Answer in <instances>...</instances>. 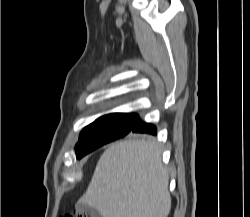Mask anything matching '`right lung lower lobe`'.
Masks as SVG:
<instances>
[{
	"label": "right lung lower lobe",
	"instance_id": "right-lung-lower-lobe-1",
	"mask_svg": "<svg viewBox=\"0 0 250 217\" xmlns=\"http://www.w3.org/2000/svg\"><path fill=\"white\" fill-rule=\"evenodd\" d=\"M131 133H147L156 135V127L152 124L145 123L138 118L131 130Z\"/></svg>",
	"mask_w": 250,
	"mask_h": 217
}]
</instances>
